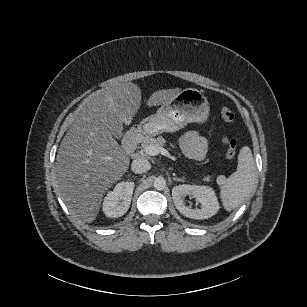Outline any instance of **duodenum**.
Returning a JSON list of instances; mask_svg holds the SVG:
<instances>
[{
    "instance_id": "410a0bca",
    "label": "duodenum",
    "mask_w": 307,
    "mask_h": 307,
    "mask_svg": "<svg viewBox=\"0 0 307 307\" xmlns=\"http://www.w3.org/2000/svg\"><path fill=\"white\" fill-rule=\"evenodd\" d=\"M145 132L140 128H134L129 131L124 137V150L126 153L131 154L136 146L144 139Z\"/></svg>"
}]
</instances>
